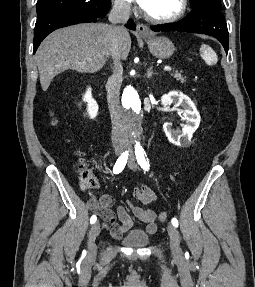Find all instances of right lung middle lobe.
I'll return each instance as SVG.
<instances>
[{
    "mask_svg": "<svg viewBox=\"0 0 255 287\" xmlns=\"http://www.w3.org/2000/svg\"><path fill=\"white\" fill-rule=\"evenodd\" d=\"M110 6L111 0H38L37 20L71 10L87 11L94 16L104 17Z\"/></svg>",
    "mask_w": 255,
    "mask_h": 287,
    "instance_id": "obj_1",
    "label": "right lung middle lobe"
}]
</instances>
